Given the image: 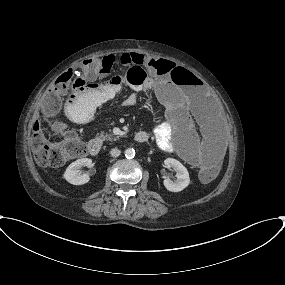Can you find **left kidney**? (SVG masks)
<instances>
[{
  "label": "left kidney",
  "mask_w": 285,
  "mask_h": 285,
  "mask_svg": "<svg viewBox=\"0 0 285 285\" xmlns=\"http://www.w3.org/2000/svg\"><path fill=\"white\" fill-rule=\"evenodd\" d=\"M166 168H173L176 171L177 180L175 182L166 178L164 180V186L171 192L182 191L189 185L190 177L187 169L178 160L173 158H167L164 160Z\"/></svg>",
  "instance_id": "1"
}]
</instances>
